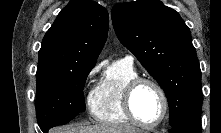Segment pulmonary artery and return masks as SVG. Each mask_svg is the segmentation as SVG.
<instances>
[{"label": "pulmonary artery", "mask_w": 221, "mask_h": 133, "mask_svg": "<svg viewBox=\"0 0 221 133\" xmlns=\"http://www.w3.org/2000/svg\"><path fill=\"white\" fill-rule=\"evenodd\" d=\"M124 60H126V61L132 63V62H133V57H132V56H126V57L124 58Z\"/></svg>", "instance_id": "1"}]
</instances>
